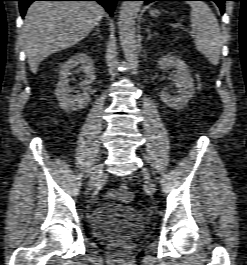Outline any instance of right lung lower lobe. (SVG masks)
<instances>
[{"label": "right lung lower lobe", "mask_w": 247, "mask_h": 265, "mask_svg": "<svg viewBox=\"0 0 247 265\" xmlns=\"http://www.w3.org/2000/svg\"><path fill=\"white\" fill-rule=\"evenodd\" d=\"M18 1L20 2L19 7H20L21 16L23 17L29 5L34 1H97L104 8H106L107 12L110 14V16H112L116 2L122 0H18Z\"/></svg>", "instance_id": "right-lung-lower-lobe-1"}]
</instances>
